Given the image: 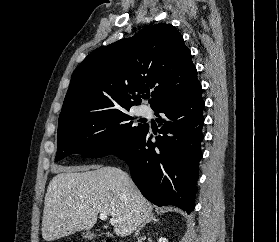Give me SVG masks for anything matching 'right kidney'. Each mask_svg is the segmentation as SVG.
<instances>
[{
	"label": "right kidney",
	"instance_id": "right-kidney-1",
	"mask_svg": "<svg viewBox=\"0 0 279 242\" xmlns=\"http://www.w3.org/2000/svg\"><path fill=\"white\" fill-rule=\"evenodd\" d=\"M158 242H168V241L166 238L161 237V238H159Z\"/></svg>",
	"mask_w": 279,
	"mask_h": 242
}]
</instances>
